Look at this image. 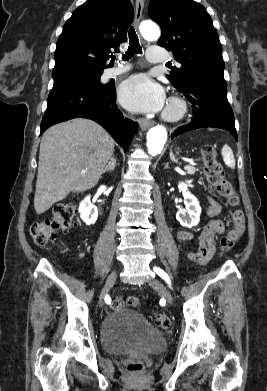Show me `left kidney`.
I'll use <instances>...</instances> for the list:
<instances>
[{"mask_svg": "<svg viewBox=\"0 0 267 391\" xmlns=\"http://www.w3.org/2000/svg\"><path fill=\"white\" fill-rule=\"evenodd\" d=\"M178 188L182 191L186 207L177 212L176 219L182 226L191 228L200 221L201 207L197 198L188 191L187 184L180 183Z\"/></svg>", "mask_w": 267, "mask_h": 391, "instance_id": "5707ae66", "label": "left kidney"}]
</instances>
